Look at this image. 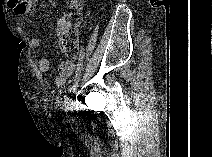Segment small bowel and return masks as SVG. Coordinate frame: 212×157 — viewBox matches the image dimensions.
I'll list each match as a JSON object with an SVG mask.
<instances>
[{
    "label": "small bowel",
    "instance_id": "obj_1",
    "mask_svg": "<svg viewBox=\"0 0 212 157\" xmlns=\"http://www.w3.org/2000/svg\"><path fill=\"white\" fill-rule=\"evenodd\" d=\"M72 6L77 4V1H70ZM8 7L17 15H24L28 10V3L24 0H8ZM68 26V23L65 17H61L58 19L56 24V33L57 36L64 31ZM30 46L33 49H36L40 46V40L37 38H33L30 41ZM50 67V61L46 57H42L38 60V71L42 74L48 72ZM74 63L70 60L62 61L58 67V75L54 78L53 84L57 88H62L65 86L68 78L72 75L74 71Z\"/></svg>",
    "mask_w": 212,
    "mask_h": 157
}]
</instances>
